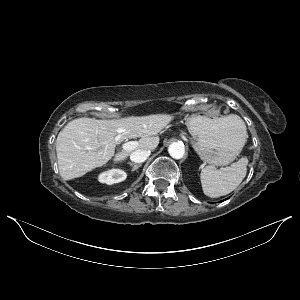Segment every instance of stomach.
<instances>
[{"label":"stomach","mask_w":300,"mask_h":300,"mask_svg":"<svg viewBox=\"0 0 300 300\" xmlns=\"http://www.w3.org/2000/svg\"><path fill=\"white\" fill-rule=\"evenodd\" d=\"M187 126L195 140L194 149L205 163L213 166L230 164L245 144L242 132L227 117L195 114L188 118Z\"/></svg>","instance_id":"stomach-1"}]
</instances>
